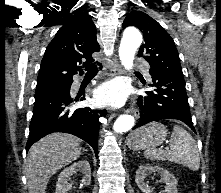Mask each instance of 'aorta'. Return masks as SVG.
I'll return each instance as SVG.
<instances>
[{
    "label": "aorta",
    "instance_id": "762f6f07",
    "mask_svg": "<svg viewBox=\"0 0 221 193\" xmlns=\"http://www.w3.org/2000/svg\"><path fill=\"white\" fill-rule=\"evenodd\" d=\"M141 43L142 35L137 29L127 28L124 31L118 52L121 64L126 70L132 69L135 53ZM134 124V117L128 114H124L117 118L113 125V129L117 133H122L132 129Z\"/></svg>",
    "mask_w": 221,
    "mask_h": 193
}]
</instances>
